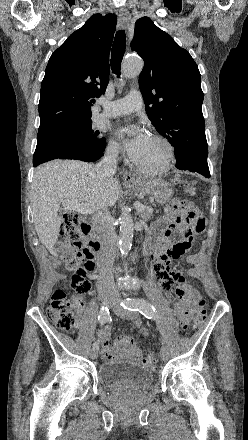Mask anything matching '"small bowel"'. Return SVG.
<instances>
[{"mask_svg": "<svg viewBox=\"0 0 248 440\" xmlns=\"http://www.w3.org/2000/svg\"><path fill=\"white\" fill-rule=\"evenodd\" d=\"M192 207V204L187 202L173 204L167 210V224L164 220L159 221L153 228V236L151 238V245L155 247V257L152 259L151 267L156 273L160 286L164 290H169L173 282L178 283L175 291L177 297L175 312L178 316L177 324L180 331H187L189 329V319L192 311L197 308L196 298L198 295L193 287L186 282L182 273L171 269V261L183 256L191 247L193 236L196 233L190 229L187 212ZM176 233H180L183 236L182 240L173 245L168 244V239ZM187 262L196 264L198 256H187ZM189 274L195 275L196 269H190ZM152 290H156V287H152ZM81 312L82 306L79 305L78 314H81ZM135 324L138 326L139 321H136ZM98 337L102 346V359L112 360L117 357H128L142 360L140 349L131 336L123 335L119 337L111 347L110 328L105 326L98 332ZM142 361L147 363L146 359Z\"/></svg>", "mask_w": 248, "mask_h": 440, "instance_id": "1", "label": "small bowel"}]
</instances>
